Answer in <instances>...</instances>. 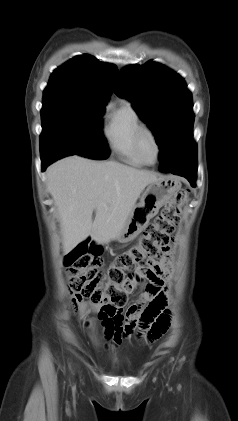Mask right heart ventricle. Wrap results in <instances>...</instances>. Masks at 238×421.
Instances as JSON below:
<instances>
[{
    "mask_svg": "<svg viewBox=\"0 0 238 421\" xmlns=\"http://www.w3.org/2000/svg\"><path fill=\"white\" fill-rule=\"evenodd\" d=\"M143 123L134 106L122 101L113 107L104 127L105 137L111 149L126 163L133 166H145L136 147V135Z\"/></svg>",
    "mask_w": 238,
    "mask_h": 421,
    "instance_id": "right-heart-ventricle-1",
    "label": "right heart ventricle"
}]
</instances>
